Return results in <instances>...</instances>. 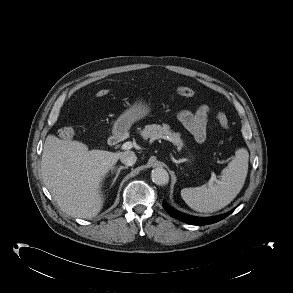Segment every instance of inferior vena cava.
I'll return each mask as SVG.
<instances>
[{
    "label": "inferior vena cava",
    "instance_id": "602c4592",
    "mask_svg": "<svg viewBox=\"0 0 293 293\" xmlns=\"http://www.w3.org/2000/svg\"><path fill=\"white\" fill-rule=\"evenodd\" d=\"M136 160L137 156L132 151H125L120 155V161L127 166L134 165L136 163Z\"/></svg>",
    "mask_w": 293,
    "mask_h": 293
}]
</instances>
